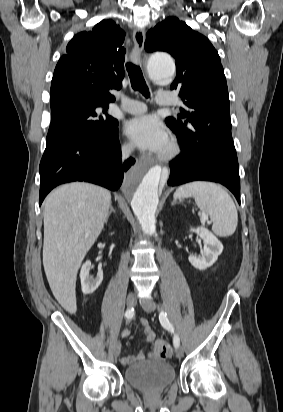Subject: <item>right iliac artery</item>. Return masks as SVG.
<instances>
[{
    "mask_svg": "<svg viewBox=\"0 0 283 412\" xmlns=\"http://www.w3.org/2000/svg\"><path fill=\"white\" fill-rule=\"evenodd\" d=\"M134 314H135L134 308H129L125 312V316L127 319H131L134 316Z\"/></svg>",
    "mask_w": 283,
    "mask_h": 412,
    "instance_id": "right-iliac-artery-1",
    "label": "right iliac artery"
}]
</instances>
